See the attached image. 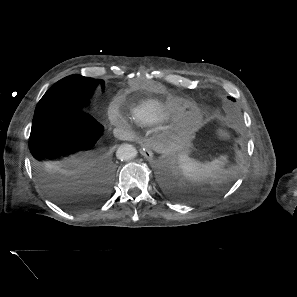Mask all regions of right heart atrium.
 Listing matches in <instances>:
<instances>
[{"label": "right heart atrium", "mask_w": 297, "mask_h": 297, "mask_svg": "<svg viewBox=\"0 0 297 297\" xmlns=\"http://www.w3.org/2000/svg\"><path fill=\"white\" fill-rule=\"evenodd\" d=\"M110 117L111 119L116 122V123H125V120L120 116V114L115 111V110H112L110 112Z\"/></svg>", "instance_id": "d8ad5b80"}]
</instances>
